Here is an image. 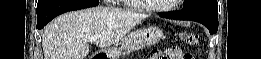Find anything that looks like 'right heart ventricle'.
Listing matches in <instances>:
<instances>
[{
	"label": "right heart ventricle",
	"instance_id": "obj_1",
	"mask_svg": "<svg viewBox=\"0 0 261 59\" xmlns=\"http://www.w3.org/2000/svg\"><path fill=\"white\" fill-rule=\"evenodd\" d=\"M120 2H124L126 4H129V5L133 6V7H136L135 5L131 4L130 0H122Z\"/></svg>",
	"mask_w": 261,
	"mask_h": 59
}]
</instances>
